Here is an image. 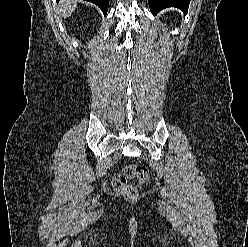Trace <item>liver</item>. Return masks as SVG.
Instances as JSON below:
<instances>
[{
	"mask_svg": "<svg viewBox=\"0 0 248 247\" xmlns=\"http://www.w3.org/2000/svg\"><path fill=\"white\" fill-rule=\"evenodd\" d=\"M77 7V0H62L60 3V12L64 18L70 16Z\"/></svg>",
	"mask_w": 248,
	"mask_h": 247,
	"instance_id": "1",
	"label": "liver"
}]
</instances>
